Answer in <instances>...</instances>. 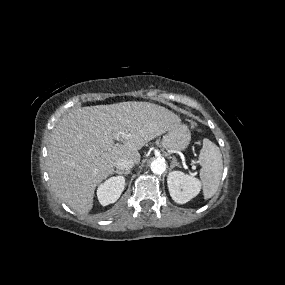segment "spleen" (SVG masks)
<instances>
[{
  "label": "spleen",
  "instance_id": "1",
  "mask_svg": "<svg viewBox=\"0 0 285 285\" xmlns=\"http://www.w3.org/2000/svg\"><path fill=\"white\" fill-rule=\"evenodd\" d=\"M198 162L202 167L200 179L204 199H209L217 192L222 176L223 161L219 147L209 139H204Z\"/></svg>",
  "mask_w": 285,
  "mask_h": 285
}]
</instances>
